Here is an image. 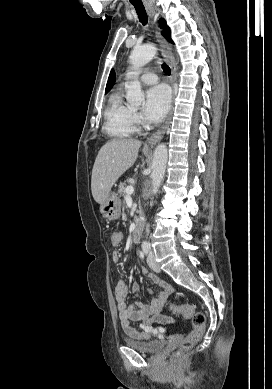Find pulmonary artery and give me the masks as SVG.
<instances>
[{
	"mask_svg": "<svg viewBox=\"0 0 272 389\" xmlns=\"http://www.w3.org/2000/svg\"><path fill=\"white\" fill-rule=\"evenodd\" d=\"M140 79L145 84H155L158 81L157 75L153 71L149 70L144 71L141 74Z\"/></svg>",
	"mask_w": 272,
	"mask_h": 389,
	"instance_id": "pulmonary-artery-1",
	"label": "pulmonary artery"
}]
</instances>
